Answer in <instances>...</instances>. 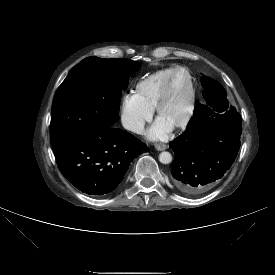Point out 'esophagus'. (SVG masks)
<instances>
[{
	"label": "esophagus",
	"instance_id": "34e87169",
	"mask_svg": "<svg viewBox=\"0 0 275 275\" xmlns=\"http://www.w3.org/2000/svg\"><path fill=\"white\" fill-rule=\"evenodd\" d=\"M155 148L158 151H163V150H165L167 148V145H165V144H156Z\"/></svg>",
	"mask_w": 275,
	"mask_h": 275
}]
</instances>
